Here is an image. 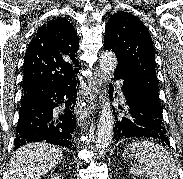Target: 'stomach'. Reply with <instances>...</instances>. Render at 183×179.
Returning <instances> with one entry per match:
<instances>
[{"label": "stomach", "mask_w": 183, "mask_h": 179, "mask_svg": "<svg viewBox=\"0 0 183 179\" xmlns=\"http://www.w3.org/2000/svg\"><path fill=\"white\" fill-rule=\"evenodd\" d=\"M123 156H124V153H123ZM126 158L133 159V158H136V156H135V154L132 155V154L129 153V154L126 155Z\"/></svg>", "instance_id": "obj_1"}]
</instances>
